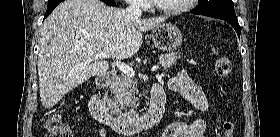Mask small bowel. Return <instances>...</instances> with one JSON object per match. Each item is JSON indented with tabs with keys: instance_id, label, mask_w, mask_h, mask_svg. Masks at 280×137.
<instances>
[{
	"instance_id": "small-bowel-1",
	"label": "small bowel",
	"mask_w": 280,
	"mask_h": 137,
	"mask_svg": "<svg viewBox=\"0 0 280 137\" xmlns=\"http://www.w3.org/2000/svg\"><path fill=\"white\" fill-rule=\"evenodd\" d=\"M168 89L179 92L189 99L200 111L208 110V101L204 90L184 70H180L169 79ZM207 126L199 119L176 121L170 124L161 137H206Z\"/></svg>"
}]
</instances>
